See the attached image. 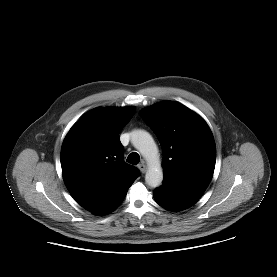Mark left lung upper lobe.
Listing matches in <instances>:
<instances>
[{"label": "left lung upper lobe", "mask_w": 277, "mask_h": 277, "mask_svg": "<svg viewBox=\"0 0 277 277\" xmlns=\"http://www.w3.org/2000/svg\"><path fill=\"white\" fill-rule=\"evenodd\" d=\"M140 115L161 143L163 184L204 192L216 162L215 142L206 122L174 101L155 104Z\"/></svg>", "instance_id": "left-lung-upper-lobe-1"}]
</instances>
